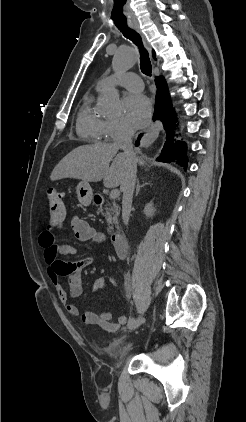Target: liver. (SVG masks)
<instances>
[{"mask_svg": "<svg viewBox=\"0 0 246 422\" xmlns=\"http://www.w3.org/2000/svg\"><path fill=\"white\" fill-rule=\"evenodd\" d=\"M110 162H112L110 166ZM144 165L142 158L136 164ZM128 169L127 159L112 144L96 143L80 146L67 154L53 169L51 181L63 178L99 182L107 188L122 185Z\"/></svg>", "mask_w": 246, "mask_h": 422, "instance_id": "liver-1", "label": "liver"}]
</instances>
